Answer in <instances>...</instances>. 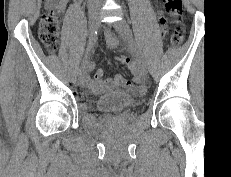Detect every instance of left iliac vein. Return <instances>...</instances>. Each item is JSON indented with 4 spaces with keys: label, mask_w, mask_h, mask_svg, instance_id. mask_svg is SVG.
<instances>
[{
    "label": "left iliac vein",
    "mask_w": 231,
    "mask_h": 177,
    "mask_svg": "<svg viewBox=\"0 0 231 177\" xmlns=\"http://www.w3.org/2000/svg\"><path fill=\"white\" fill-rule=\"evenodd\" d=\"M113 27L128 45L134 46V41L132 38V34L130 32V28L125 20H120V21L115 22L113 24ZM136 53H137V59H138L139 73L142 77H145L147 75L146 64L144 62L142 55L139 53L138 50L136 51Z\"/></svg>",
    "instance_id": "obj_1"
}]
</instances>
